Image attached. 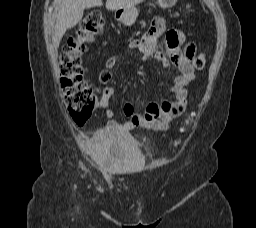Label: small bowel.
<instances>
[{
    "label": "small bowel",
    "mask_w": 256,
    "mask_h": 228,
    "mask_svg": "<svg viewBox=\"0 0 256 228\" xmlns=\"http://www.w3.org/2000/svg\"><path fill=\"white\" fill-rule=\"evenodd\" d=\"M165 31V20L156 17L148 31L141 38L129 41L128 48L140 53L144 61L154 59L166 68L173 66L179 71V74L174 77L171 87L174 100L164 101L160 104L150 103L143 107L139 114L134 112L132 104L125 103L123 113L127 117V121L121 123L115 119L114 113L108 109L114 89L107 86L102 90L100 105L105 110L109 121L104 128L96 132L97 137L113 132L126 133L135 128L164 131L168 129L173 119L184 113L187 104V86L195 77L192 65L195 47L193 44L185 42V36L181 31L169 30L163 38L164 50H160L158 43ZM116 61L115 56H109L106 59L105 69L101 71L99 76L102 84L106 85L110 82L111 70L114 68Z\"/></svg>",
    "instance_id": "c3829d8e"
}]
</instances>
